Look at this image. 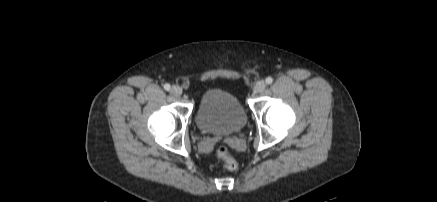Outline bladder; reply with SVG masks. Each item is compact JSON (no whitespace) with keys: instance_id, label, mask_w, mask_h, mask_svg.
Masks as SVG:
<instances>
[{"instance_id":"31cf9c89","label":"bladder","mask_w":437,"mask_h":202,"mask_svg":"<svg viewBox=\"0 0 437 202\" xmlns=\"http://www.w3.org/2000/svg\"><path fill=\"white\" fill-rule=\"evenodd\" d=\"M195 122L199 130L214 135H231L241 131L247 122L246 112L229 91L214 88L201 97Z\"/></svg>"}]
</instances>
